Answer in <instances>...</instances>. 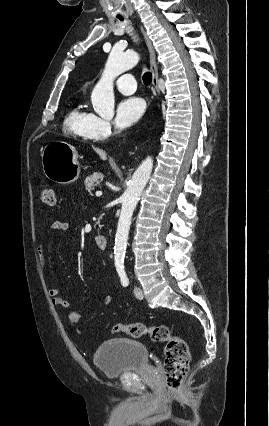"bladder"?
Segmentation results:
<instances>
[{
  "mask_svg": "<svg viewBox=\"0 0 269 426\" xmlns=\"http://www.w3.org/2000/svg\"><path fill=\"white\" fill-rule=\"evenodd\" d=\"M93 361L106 377H117L149 365L146 347L127 338H110L102 343L93 354Z\"/></svg>",
  "mask_w": 269,
  "mask_h": 426,
  "instance_id": "31cf9c89",
  "label": "bladder"
}]
</instances>
